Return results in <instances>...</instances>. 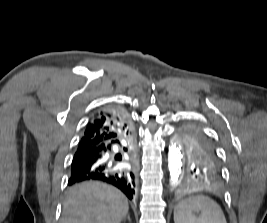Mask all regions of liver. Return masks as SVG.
<instances>
[{
  "mask_svg": "<svg viewBox=\"0 0 267 223\" xmlns=\"http://www.w3.org/2000/svg\"><path fill=\"white\" fill-rule=\"evenodd\" d=\"M128 209V201L118 189L85 182L69 189L61 223H120Z\"/></svg>",
  "mask_w": 267,
  "mask_h": 223,
  "instance_id": "6515ba94",
  "label": "liver"
}]
</instances>
